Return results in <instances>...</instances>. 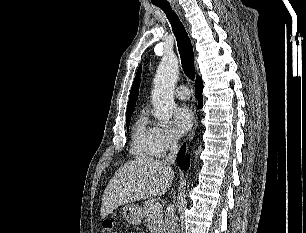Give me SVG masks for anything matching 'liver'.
<instances>
[{"mask_svg":"<svg viewBox=\"0 0 306 233\" xmlns=\"http://www.w3.org/2000/svg\"><path fill=\"white\" fill-rule=\"evenodd\" d=\"M174 172L165 161L137 158L120 167L109 181L102 199L101 218L121 205L167 192Z\"/></svg>","mask_w":306,"mask_h":233,"instance_id":"liver-1","label":"liver"}]
</instances>
